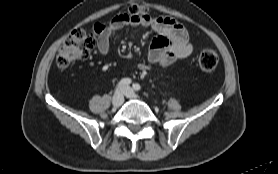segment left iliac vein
<instances>
[{
	"label": "left iliac vein",
	"instance_id": "1",
	"mask_svg": "<svg viewBox=\"0 0 278 174\" xmlns=\"http://www.w3.org/2000/svg\"><path fill=\"white\" fill-rule=\"evenodd\" d=\"M123 93L127 98L140 99V97L136 93H134V91L130 87L123 88Z\"/></svg>",
	"mask_w": 278,
	"mask_h": 174
}]
</instances>
